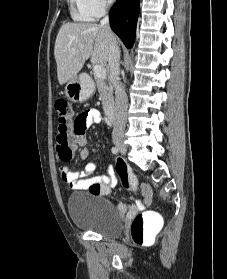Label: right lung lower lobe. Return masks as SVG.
<instances>
[{"label": "right lung lower lobe", "mask_w": 227, "mask_h": 279, "mask_svg": "<svg viewBox=\"0 0 227 279\" xmlns=\"http://www.w3.org/2000/svg\"><path fill=\"white\" fill-rule=\"evenodd\" d=\"M139 0H117L110 13V26L127 48L134 43Z\"/></svg>", "instance_id": "98d812e1"}]
</instances>
